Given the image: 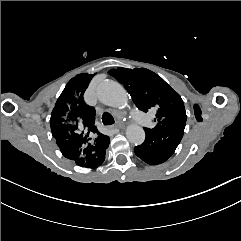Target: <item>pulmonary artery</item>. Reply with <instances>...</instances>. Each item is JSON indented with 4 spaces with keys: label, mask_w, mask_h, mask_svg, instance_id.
Segmentation results:
<instances>
[{
    "label": "pulmonary artery",
    "mask_w": 241,
    "mask_h": 241,
    "mask_svg": "<svg viewBox=\"0 0 241 241\" xmlns=\"http://www.w3.org/2000/svg\"><path fill=\"white\" fill-rule=\"evenodd\" d=\"M126 111L129 113L130 117L140 125H145L149 121V116L142 111L135 102H130L126 106Z\"/></svg>",
    "instance_id": "pulmonary-artery-1"
}]
</instances>
